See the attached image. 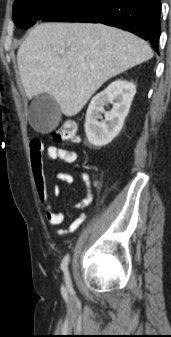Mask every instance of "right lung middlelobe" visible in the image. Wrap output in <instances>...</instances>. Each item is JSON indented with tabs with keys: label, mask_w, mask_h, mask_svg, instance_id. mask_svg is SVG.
I'll return each mask as SVG.
<instances>
[{
	"label": "right lung middle lobe",
	"mask_w": 171,
	"mask_h": 337,
	"mask_svg": "<svg viewBox=\"0 0 171 337\" xmlns=\"http://www.w3.org/2000/svg\"><path fill=\"white\" fill-rule=\"evenodd\" d=\"M67 0H15L13 20L17 28L26 29L44 20Z\"/></svg>",
	"instance_id": "dd1d6c3e"
}]
</instances>
